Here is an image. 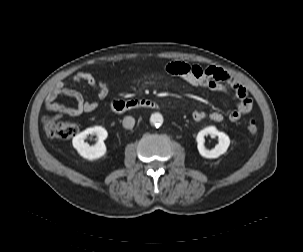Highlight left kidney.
Wrapping results in <instances>:
<instances>
[{
    "instance_id": "obj_1",
    "label": "left kidney",
    "mask_w": 303,
    "mask_h": 252,
    "mask_svg": "<svg viewBox=\"0 0 303 252\" xmlns=\"http://www.w3.org/2000/svg\"><path fill=\"white\" fill-rule=\"evenodd\" d=\"M214 135L218 136V144L211 150H208L204 146V136L205 135ZM197 148L201 156L209 159L218 158L220 155L224 154L229 145L230 138L224 132L218 131L215 127L210 126L201 130L197 135Z\"/></svg>"
}]
</instances>
